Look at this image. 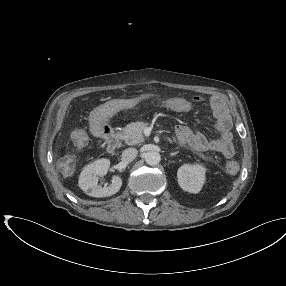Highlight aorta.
Instances as JSON below:
<instances>
[{"label": "aorta", "mask_w": 286, "mask_h": 286, "mask_svg": "<svg viewBox=\"0 0 286 286\" xmlns=\"http://www.w3.org/2000/svg\"><path fill=\"white\" fill-rule=\"evenodd\" d=\"M145 160H146L147 164H149L151 166H155V165H158L160 163L161 156L156 151H149L145 155Z\"/></svg>", "instance_id": "obj_1"}]
</instances>
